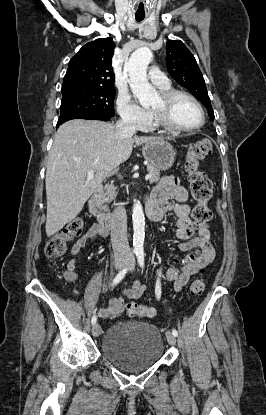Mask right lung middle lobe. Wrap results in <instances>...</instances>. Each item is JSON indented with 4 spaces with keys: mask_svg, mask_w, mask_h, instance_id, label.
Returning <instances> with one entry per match:
<instances>
[{
    "mask_svg": "<svg viewBox=\"0 0 266 415\" xmlns=\"http://www.w3.org/2000/svg\"><path fill=\"white\" fill-rule=\"evenodd\" d=\"M115 88H80L62 92L61 114L114 116Z\"/></svg>",
    "mask_w": 266,
    "mask_h": 415,
    "instance_id": "right-lung-middle-lobe-1",
    "label": "right lung middle lobe"
}]
</instances>
